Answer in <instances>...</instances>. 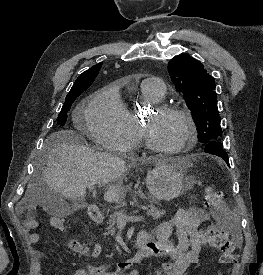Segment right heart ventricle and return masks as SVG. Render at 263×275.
Masks as SVG:
<instances>
[{"label": "right heart ventricle", "mask_w": 263, "mask_h": 275, "mask_svg": "<svg viewBox=\"0 0 263 275\" xmlns=\"http://www.w3.org/2000/svg\"><path fill=\"white\" fill-rule=\"evenodd\" d=\"M141 94L145 101L154 103L158 100L154 97L153 93L147 89L146 87H141ZM123 112L124 117L127 122V125L130 130V146L129 148H133L141 143L140 129H139V120L136 112L134 110L129 109L123 104Z\"/></svg>", "instance_id": "e07e8e85"}]
</instances>
